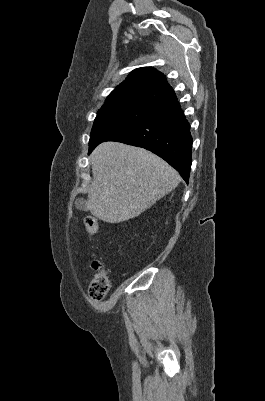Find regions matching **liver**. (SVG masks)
<instances>
[{"mask_svg":"<svg viewBox=\"0 0 265 401\" xmlns=\"http://www.w3.org/2000/svg\"><path fill=\"white\" fill-rule=\"evenodd\" d=\"M90 162L93 182L86 207L105 223L138 217L181 180L177 170L150 150L122 142H102Z\"/></svg>","mask_w":265,"mask_h":401,"instance_id":"6515ba94","label":"liver"}]
</instances>
